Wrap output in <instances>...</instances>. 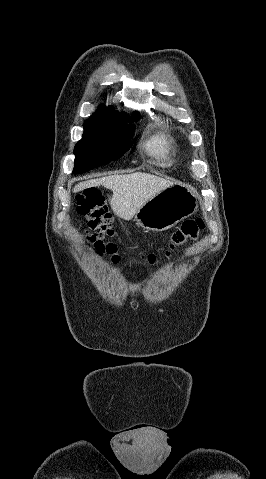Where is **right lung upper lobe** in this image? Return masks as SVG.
Instances as JSON below:
<instances>
[{"label":"right lung upper lobe","mask_w":266,"mask_h":479,"mask_svg":"<svg viewBox=\"0 0 266 479\" xmlns=\"http://www.w3.org/2000/svg\"><path fill=\"white\" fill-rule=\"evenodd\" d=\"M133 116L138 120L139 113L134 112ZM87 121H116L120 123H125L124 114H120L113 110V107L106 108L100 106L99 109L88 119Z\"/></svg>","instance_id":"right-lung-upper-lobe-1"}]
</instances>
